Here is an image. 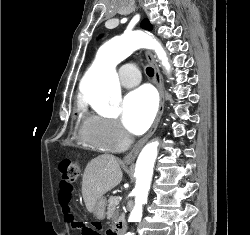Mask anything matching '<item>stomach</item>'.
Instances as JSON below:
<instances>
[{
    "mask_svg": "<svg viewBox=\"0 0 250 235\" xmlns=\"http://www.w3.org/2000/svg\"><path fill=\"white\" fill-rule=\"evenodd\" d=\"M106 203V198L100 197L94 205L93 214L99 220H103L105 218Z\"/></svg>",
    "mask_w": 250,
    "mask_h": 235,
    "instance_id": "stomach-1",
    "label": "stomach"
}]
</instances>
